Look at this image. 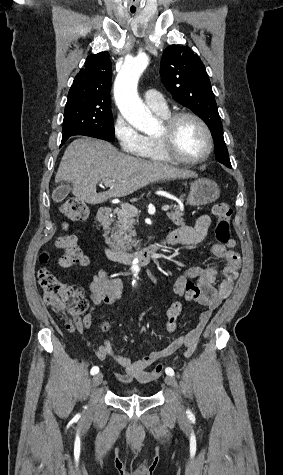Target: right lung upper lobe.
<instances>
[{
    "instance_id": "obj_1",
    "label": "right lung upper lobe",
    "mask_w": 283,
    "mask_h": 475,
    "mask_svg": "<svg viewBox=\"0 0 283 475\" xmlns=\"http://www.w3.org/2000/svg\"><path fill=\"white\" fill-rule=\"evenodd\" d=\"M111 70L108 52L88 56L84 68L73 81L68 99L110 102Z\"/></svg>"
}]
</instances>
